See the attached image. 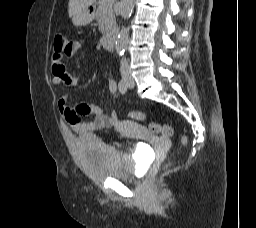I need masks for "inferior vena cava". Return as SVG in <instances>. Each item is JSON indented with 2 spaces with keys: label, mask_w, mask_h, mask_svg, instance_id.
Instances as JSON below:
<instances>
[{
  "label": "inferior vena cava",
  "mask_w": 256,
  "mask_h": 228,
  "mask_svg": "<svg viewBox=\"0 0 256 228\" xmlns=\"http://www.w3.org/2000/svg\"><path fill=\"white\" fill-rule=\"evenodd\" d=\"M130 71L129 63L126 58H123L120 63V72L121 74H128Z\"/></svg>",
  "instance_id": "602c4592"
}]
</instances>
